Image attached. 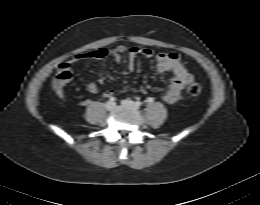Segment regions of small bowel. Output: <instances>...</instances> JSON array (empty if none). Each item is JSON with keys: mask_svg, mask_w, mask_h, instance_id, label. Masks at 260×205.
<instances>
[{"mask_svg": "<svg viewBox=\"0 0 260 205\" xmlns=\"http://www.w3.org/2000/svg\"><path fill=\"white\" fill-rule=\"evenodd\" d=\"M92 53H95L98 58L111 56L116 62H120L122 60V55L127 53V66L129 71H133L135 69L137 57L142 56L145 58H151L154 56L153 50L148 47H130L125 44H120L110 51L100 49L88 54L77 55L74 58L63 62L52 80L53 92L59 99H65V87L74 79V68L76 64L82 58L92 57ZM156 70L158 73H172L173 78L163 95V100L168 104L177 102L180 99L184 87L192 81V76L184 67L180 56L177 53L157 54ZM86 88L87 91L92 94H96L99 91L98 86L93 81H89ZM139 90L142 93H145L147 88L142 85L139 87ZM104 94L105 96H110L113 94V91L107 90Z\"/></svg>", "mask_w": 260, "mask_h": 205, "instance_id": "1", "label": "small bowel"}]
</instances>
